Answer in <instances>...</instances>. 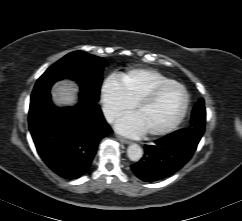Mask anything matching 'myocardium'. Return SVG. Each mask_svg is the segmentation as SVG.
<instances>
[{
  "instance_id": "1",
  "label": "myocardium",
  "mask_w": 242,
  "mask_h": 221,
  "mask_svg": "<svg viewBox=\"0 0 242 221\" xmlns=\"http://www.w3.org/2000/svg\"><path fill=\"white\" fill-rule=\"evenodd\" d=\"M170 86H176L182 89L184 93V103H183L182 109L178 114V116L165 128L158 131L147 132L146 136L149 138H158V137L165 136L177 128V126L182 122V120L187 114L189 103H190L189 93L184 85H182L177 81L171 80L154 86L148 93H146L140 100H138L134 104L133 111L136 112L137 110L152 103L161 91H163L164 89Z\"/></svg>"
}]
</instances>
